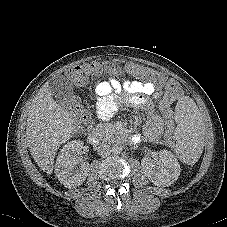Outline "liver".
<instances>
[{"label": "liver", "instance_id": "6515ba94", "mask_svg": "<svg viewBox=\"0 0 227 227\" xmlns=\"http://www.w3.org/2000/svg\"><path fill=\"white\" fill-rule=\"evenodd\" d=\"M26 137L29 151L38 166L51 175L57 149L74 134V121L61 107L45 83L35 96L28 111Z\"/></svg>", "mask_w": 227, "mask_h": 227}]
</instances>
